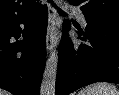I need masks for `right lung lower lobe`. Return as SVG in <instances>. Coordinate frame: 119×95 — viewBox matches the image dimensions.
<instances>
[{
    "label": "right lung lower lobe",
    "instance_id": "obj_1",
    "mask_svg": "<svg viewBox=\"0 0 119 95\" xmlns=\"http://www.w3.org/2000/svg\"><path fill=\"white\" fill-rule=\"evenodd\" d=\"M47 6L0 29V88L14 95H38L45 66ZM25 25V31L20 24ZM23 34V40L14 41Z\"/></svg>",
    "mask_w": 119,
    "mask_h": 95
}]
</instances>
